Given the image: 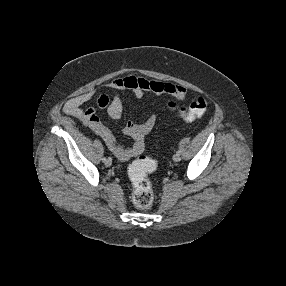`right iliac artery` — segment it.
Instances as JSON below:
<instances>
[{"label": "right iliac artery", "mask_w": 286, "mask_h": 286, "mask_svg": "<svg viewBox=\"0 0 286 286\" xmlns=\"http://www.w3.org/2000/svg\"><path fill=\"white\" fill-rule=\"evenodd\" d=\"M102 161H103V162H105V161H106V158H105V157H104V158H102Z\"/></svg>", "instance_id": "obj_1"}]
</instances>
